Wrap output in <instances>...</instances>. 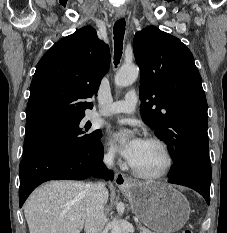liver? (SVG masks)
<instances>
[{
  "label": "liver",
  "instance_id": "liver-1",
  "mask_svg": "<svg viewBox=\"0 0 227 233\" xmlns=\"http://www.w3.org/2000/svg\"><path fill=\"white\" fill-rule=\"evenodd\" d=\"M86 188L84 182L51 181L36 189L24 205L29 232L80 233L86 219ZM108 197L105 188L103 204Z\"/></svg>",
  "mask_w": 227,
  "mask_h": 233
}]
</instances>
